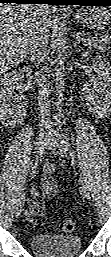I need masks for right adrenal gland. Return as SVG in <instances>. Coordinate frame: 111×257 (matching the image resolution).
<instances>
[{"instance_id": "1", "label": "right adrenal gland", "mask_w": 111, "mask_h": 257, "mask_svg": "<svg viewBox=\"0 0 111 257\" xmlns=\"http://www.w3.org/2000/svg\"><path fill=\"white\" fill-rule=\"evenodd\" d=\"M32 63H33V58L32 57H30V58H28Z\"/></svg>"}]
</instances>
